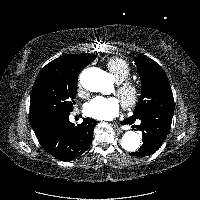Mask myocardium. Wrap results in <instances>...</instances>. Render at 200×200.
<instances>
[{
	"label": "myocardium",
	"mask_w": 200,
	"mask_h": 200,
	"mask_svg": "<svg viewBox=\"0 0 200 200\" xmlns=\"http://www.w3.org/2000/svg\"><path fill=\"white\" fill-rule=\"evenodd\" d=\"M116 94L126 109H132L140 100L141 89L137 83L125 80L117 84Z\"/></svg>",
	"instance_id": "myocardium-1"
}]
</instances>
